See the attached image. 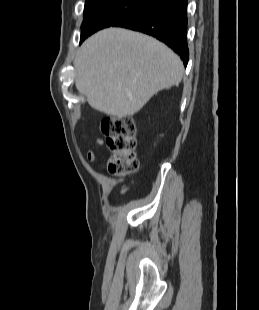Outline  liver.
Wrapping results in <instances>:
<instances>
[{
	"label": "liver",
	"instance_id": "6515ba94",
	"mask_svg": "<svg viewBox=\"0 0 259 310\" xmlns=\"http://www.w3.org/2000/svg\"><path fill=\"white\" fill-rule=\"evenodd\" d=\"M75 85L88 104L123 118L137 113L157 92L178 86L180 58L153 37L109 28L89 37L75 61Z\"/></svg>",
	"mask_w": 259,
	"mask_h": 310
}]
</instances>
